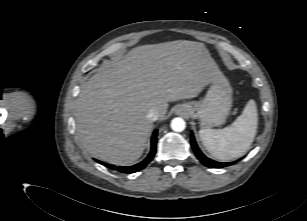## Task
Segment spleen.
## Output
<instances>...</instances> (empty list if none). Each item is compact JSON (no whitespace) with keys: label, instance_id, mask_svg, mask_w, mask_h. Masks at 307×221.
Here are the masks:
<instances>
[{"label":"spleen","instance_id":"3e777b00","mask_svg":"<svg viewBox=\"0 0 307 221\" xmlns=\"http://www.w3.org/2000/svg\"><path fill=\"white\" fill-rule=\"evenodd\" d=\"M258 126L257 106L249 100L242 114L223 129H201L200 139L206 150L216 159L230 161L244 155L251 146Z\"/></svg>","mask_w":307,"mask_h":221}]
</instances>
